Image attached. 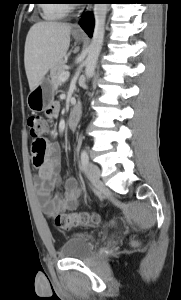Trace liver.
<instances>
[{
  "label": "liver",
  "instance_id": "liver-1",
  "mask_svg": "<svg viewBox=\"0 0 181 300\" xmlns=\"http://www.w3.org/2000/svg\"><path fill=\"white\" fill-rule=\"evenodd\" d=\"M71 28L67 23L58 22H38L30 28L25 42L24 65L31 91L66 55Z\"/></svg>",
  "mask_w": 181,
  "mask_h": 300
}]
</instances>
